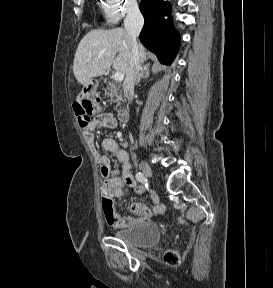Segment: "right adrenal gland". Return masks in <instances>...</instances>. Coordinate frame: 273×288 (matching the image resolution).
Here are the masks:
<instances>
[{
    "label": "right adrenal gland",
    "instance_id": "obj_1",
    "mask_svg": "<svg viewBox=\"0 0 273 288\" xmlns=\"http://www.w3.org/2000/svg\"><path fill=\"white\" fill-rule=\"evenodd\" d=\"M150 75L149 65H143L140 67V72L138 75V79L136 81V85H138L142 78H148Z\"/></svg>",
    "mask_w": 273,
    "mask_h": 288
}]
</instances>
